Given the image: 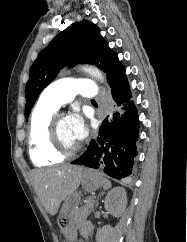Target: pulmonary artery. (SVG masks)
Here are the masks:
<instances>
[{
    "instance_id": "1",
    "label": "pulmonary artery",
    "mask_w": 187,
    "mask_h": 242,
    "mask_svg": "<svg viewBox=\"0 0 187 242\" xmlns=\"http://www.w3.org/2000/svg\"><path fill=\"white\" fill-rule=\"evenodd\" d=\"M76 95L93 98L97 95V86L89 79H60L42 92L39 101L58 110L62 105L72 101Z\"/></svg>"
}]
</instances>
